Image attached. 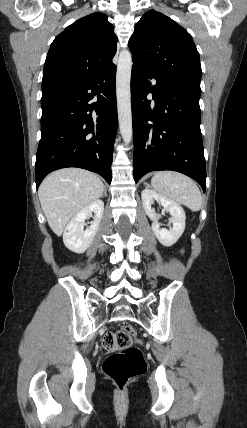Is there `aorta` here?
I'll use <instances>...</instances> for the list:
<instances>
[{
	"label": "aorta",
	"instance_id": "aorta-1",
	"mask_svg": "<svg viewBox=\"0 0 247 428\" xmlns=\"http://www.w3.org/2000/svg\"><path fill=\"white\" fill-rule=\"evenodd\" d=\"M132 64L131 53L121 51L117 65L116 94L120 133L125 143L131 142L133 135L130 90Z\"/></svg>",
	"mask_w": 247,
	"mask_h": 428
}]
</instances>
